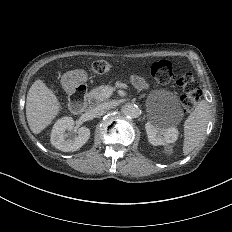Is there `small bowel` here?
<instances>
[{"label":"small bowel","mask_w":232,"mask_h":232,"mask_svg":"<svg viewBox=\"0 0 232 232\" xmlns=\"http://www.w3.org/2000/svg\"><path fill=\"white\" fill-rule=\"evenodd\" d=\"M129 78L137 89L143 90L147 87L145 80L140 75L132 73L130 74Z\"/></svg>","instance_id":"obj_1"}]
</instances>
